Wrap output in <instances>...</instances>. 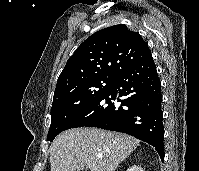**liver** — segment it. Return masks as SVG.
Here are the masks:
<instances>
[{
    "label": "liver",
    "instance_id": "1",
    "mask_svg": "<svg viewBox=\"0 0 199 171\" xmlns=\"http://www.w3.org/2000/svg\"><path fill=\"white\" fill-rule=\"evenodd\" d=\"M130 135L98 128H73L50 146L51 171H115L139 145Z\"/></svg>",
    "mask_w": 199,
    "mask_h": 171
}]
</instances>
